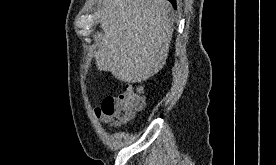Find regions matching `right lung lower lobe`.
I'll list each match as a JSON object with an SVG mask.
<instances>
[{
	"instance_id": "98d812e1",
	"label": "right lung lower lobe",
	"mask_w": 276,
	"mask_h": 165,
	"mask_svg": "<svg viewBox=\"0 0 276 165\" xmlns=\"http://www.w3.org/2000/svg\"><path fill=\"white\" fill-rule=\"evenodd\" d=\"M169 1L173 4L174 7L176 6V0H169Z\"/></svg>"
}]
</instances>
